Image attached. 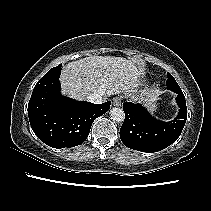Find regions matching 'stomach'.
Masks as SVG:
<instances>
[{"label": "stomach", "instance_id": "1", "mask_svg": "<svg viewBox=\"0 0 211 211\" xmlns=\"http://www.w3.org/2000/svg\"><path fill=\"white\" fill-rule=\"evenodd\" d=\"M156 109H157L156 103H151V104H150V111H151V112H154V111H156Z\"/></svg>", "mask_w": 211, "mask_h": 211}]
</instances>
